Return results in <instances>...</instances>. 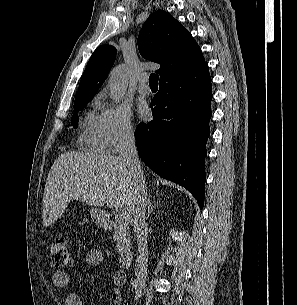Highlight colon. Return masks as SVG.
Here are the masks:
<instances>
[{
  "instance_id": "5ec220e1",
  "label": "colon",
  "mask_w": 297,
  "mask_h": 305,
  "mask_svg": "<svg viewBox=\"0 0 297 305\" xmlns=\"http://www.w3.org/2000/svg\"><path fill=\"white\" fill-rule=\"evenodd\" d=\"M50 257L55 268H65L72 264V256L69 253L67 238L64 234H57L50 244Z\"/></svg>"
}]
</instances>
